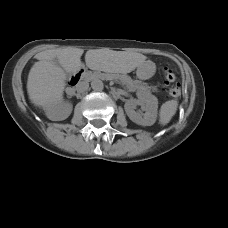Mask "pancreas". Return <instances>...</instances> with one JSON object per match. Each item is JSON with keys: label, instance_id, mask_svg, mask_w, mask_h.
Wrapping results in <instances>:
<instances>
[{"label": "pancreas", "instance_id": "pancreas-1", "mask_svg": "<svg viewBox=\"0 0 228 228\" xmlns=\"http://www.w3.org/2000/svg\"><path fill=\"white\" fill-rule=\"evenodd\" d=\"M90 80L92 81H98L97 77L95 75L90 74ZM114 79L121 84L124 88L130 90V91H137V92H150V91H156V88L153 86H149L146 83H142L137 80H132L128 76H122L117 75L114 77Z\"/></svg>", "mask_w": 228, "mask_h": 228}]
</instances>
